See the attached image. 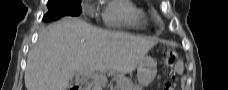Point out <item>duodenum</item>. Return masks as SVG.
I'll return each mask as SVG.
<instances>
[{
	"label": "duodenum",
	"instance_id": "obj_1",
	"mask_svg": "<svg viewBox=\"0 0 228 90\" xmlns=\"http://www.w3.org/2000/svg\"><path fill=\"white\" fill-rule=\"evenodd\" d=\"M70 90H81L79 86H73L70 88Z\"/></svg>",
	"mask_w": 228,
	"mask_h": 90
}]
</instances>
